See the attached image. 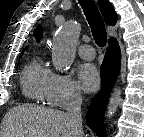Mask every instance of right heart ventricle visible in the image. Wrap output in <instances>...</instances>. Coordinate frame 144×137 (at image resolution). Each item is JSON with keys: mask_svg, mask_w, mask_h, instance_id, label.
<instances>
[{"mask_svg": "<svg viewBox=\"0 0 144 137\" xmlns=\"http://www.w3.org/2000/svg\"><path fill=\"white\" fill-rule=\"evenodd\" d=\"M53 73L47 68L41 58H32L21 75L23 94L36 102L46 101Z\"/></svg>", "mask_w": 144, "mask_h": 137, "instance_id": "e07e8e85", "label": "right heart ventricle"}]
</instances>
